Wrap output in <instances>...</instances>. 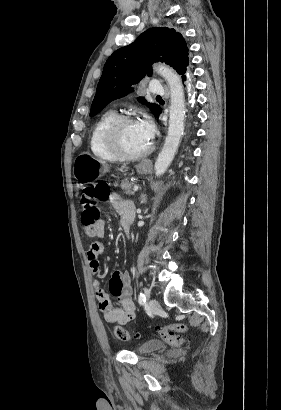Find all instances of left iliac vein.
Masks as SVG:
<instances>
[{"mask_svg":"<svg viewBox=\"0 0 281 410\" xmlns=\"http://www.w3.org/2000/svg\"><path fill=\"white\" fill-rule=\"evenodd\" d=\"M147 296H148V294H147ZM148 305H149L150 310H152V311H156L160 308L159 302L156 299H153V298H150L148 300Z\"/></svg>","mask_w":281,"mask_h":410,"instance_id":"4c4485c4","label":"left iliac vein"}]
</instances>
